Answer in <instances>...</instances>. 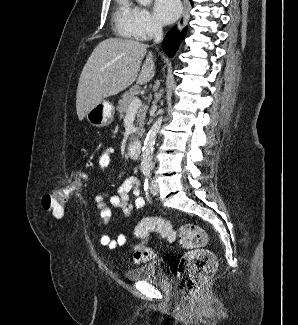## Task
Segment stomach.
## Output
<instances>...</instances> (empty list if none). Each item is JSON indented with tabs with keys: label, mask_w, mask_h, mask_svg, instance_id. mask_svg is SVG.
Masks as SVG:
<instances>
[{
	"label": "stomach",
	"mask_w": 298,
	"mask_h": 325,
	"mask_svg": "<svg viewBox=\"0 0 298 325\" xmlns=\"http://www.w3.org/2000/svg\"><path fill=\"white\" fill-rule=\"evenodd\" d=\"M115 106L110 100H101L86 114L88 122L93 126H108L114 120Z\"/></svg>",
	"instance_id": "stomach-1"
}]
</instances>
